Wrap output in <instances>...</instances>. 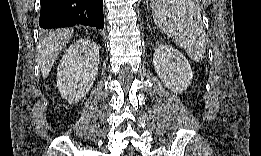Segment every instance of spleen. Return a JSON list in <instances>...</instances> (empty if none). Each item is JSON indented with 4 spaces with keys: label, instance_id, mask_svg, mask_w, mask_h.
I'll list each match as a JSON object with an SVG mask.
<instances>
[{
    "label": "spleen",
    "instance_id": "obj_1",
    "mask_svg": "<svg viewBox=\"0 0 261 156\" xmlns=\"http://www.w3.org/2000/svg\"><path fill=\"white\" fill-rule=\"evenodd\" d=\"M153 19L157 27L171 37L194 61L205 54V33L199 10L192 1L155 2Z\"/></svg>",
    "mask_w": 261,
    "mask_h": 156
}]
</instances>
